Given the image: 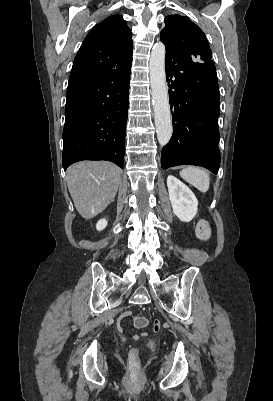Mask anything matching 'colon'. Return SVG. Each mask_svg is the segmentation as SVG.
Wrapping results in <instances>:
<instances>
[{"mask_svg": "<svg viewBox=\"0 0 273 401\" xmlns=\"http://www.w3.org/2000/svg\"><path fill=\"white\" fill-rule=\"evenodd\" d=\"M201 229L203 232L200 235V238L202 241H209L211 238V235L209 232H207L208 224L203 222L200 224ZM135 325L137 328H140V330H143L144 327H146L147 322L144 320V317L142 315H137L135 317ZM125 355L127 358H130V365L127 369L128 375L127 378L129 381H139L141 379V365L139 363V347L135 346L134 349H127L125 352Z\"/></svg>", "mask_w": 273, "mask_h": 401, "instance_id": "obj_1", "label": "colon"}]
</instances>
